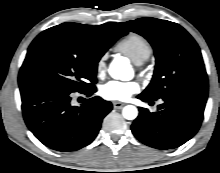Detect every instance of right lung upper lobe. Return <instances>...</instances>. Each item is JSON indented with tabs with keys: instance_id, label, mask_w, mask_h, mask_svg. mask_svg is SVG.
<instances>
[{
	"instance_id": "cb5924a9",
	"label": "right lung upper lobe",
	"mask_w": 220,
	"mask_h": 173,
	"mask_svg": "<svg viewBox=\"0 0 220 173\" xmlns=\"http://www.w3.org/2000/svg\"><path fill=\"white\" fill-rule=\"evenodd\" d=\"M128 32L117 23H105L98 26H89L78 23H63L52 28H49L40 33L31 43L28 49L26 60L34 50L36 44L47 36H73L90 43L91 49L102 57L104 53L122 36ZM23 63V64H24ZM19 86L28 85L20 70Z\"/></svg>"
}]
</instances>
